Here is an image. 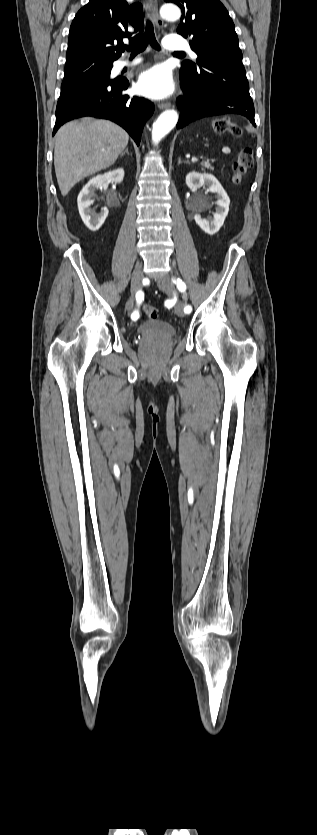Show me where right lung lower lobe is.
<instances>
[{"mask_svg": "<svg viewBox=\"0 0 317 835\" xmlns=\"http://www.w3.org/2000/svg\"><path fill=\"white\" fill-rule=\"evenodd\" d=\"M75 56L66 59V66L77 67L88 58ZM129 86L127 79L109 78L78 84L62 89L56 108L53 135L64 123L83 116L109 119L122 126L139 145L147 119L154 105L143 97L123 95Z\"/></svg>", "mask_w": 317, "mask_h": 835, "instance_id": "right-lung-lower-lobe-1", "label": "right lung lower lobe"}]
</instances>
